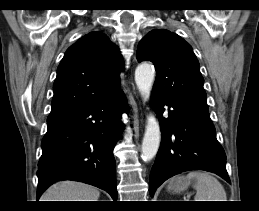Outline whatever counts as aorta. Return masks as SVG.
Segmentation results:
<instances>
[{"instance_id":"762f6f07","label":"aorta","mask_w":259,"mask_h":211,"mask_svg":"<svg viewBox=\"0 0 259 211\" xmlns=\"http://www.w3.org/2000/svg\"><path fill=\"white\" fill-rule=\"evenodd\" d=\"M155 78L154 67L148 63L138 65L135 70V82L137 88L145 102H148ZM148 111L147 124L142 141L141 157L144 161H150L157 154L160 146L161 132L160 125L155 113L150 106L146 107Z\"/></svg>"}]
</instances>
